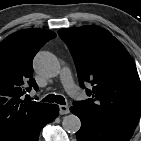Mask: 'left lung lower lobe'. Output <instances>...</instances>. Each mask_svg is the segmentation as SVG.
I'll list each match as a JSON object with an SVG mask.
<instances>
[{
    "label": "left lung lower lobe",
    "mask_w": 141,
    "mask_h": 141,
    "mask_svg": "<svg viewBox=\"0 0 141 141\" xmlns=\"http://www.w3.org/2000/svg\"><path fill=\"white\" fill-rule=\"evenodd\" d=\"M70 111L81 120L78 141H129L134 130L107 123L86 108L72 106Z\"/></svg>",
    "instance_id": "left-lung-lower-lobe-1"
}]
</instances>
